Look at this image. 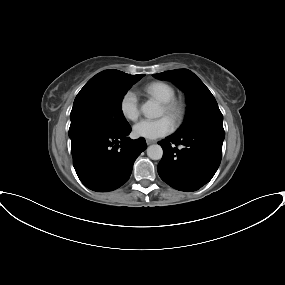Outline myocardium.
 I'll use <instances>...</instances> for the list:
<instances>
[{
	"instance_id": "obj_1",
	"label": "myocardium",
	"mask_w": 285,
	"mask_h": 285,
	"mask_svg": "<svg viewBox=\"0 0 285 285\" xmlns=\"http://www.w3.org/2000/svg\"><path fill=\"white\" fill-rule=\"evenodd\" d=\"M162 104L165 113L171 117L176 124H179L183 121L187 112V104L183 99L174 97Z\"/></svg>"
}]
</instances>
